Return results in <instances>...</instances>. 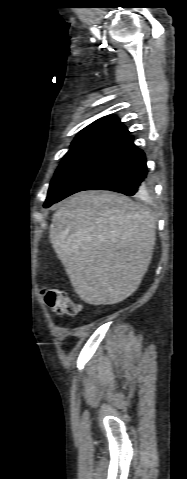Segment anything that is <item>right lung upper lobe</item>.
<instances>
[{
    "label": "right lung upper lobe",
    "mask_w": 187,
    "mask_h": 479,
    "mask_svg": "<svg viewBox=\"0 0 187 479\" xmlns=\"http://www.w3.org/2000/svg\"><path fill=\"white\" fill-rule=\"evenodd\" d=\"M88 127H103V128H109V129L129 133L127 128L115 116H106V117L100 118L96 120L95 122H93L92 124H90L89 126H87L86 128Z\"/></svg>",
    "instance_id": "cb5924a9"
}]
</instances>
